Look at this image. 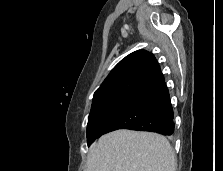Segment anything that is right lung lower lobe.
I'll return each mask as SVG.
<instances>
[{"label": "right lung lower lobe", "instance_id": "98d812e1", "mask_svg": "<svg viewBox=\"0 0 223 171\" xmlns=\"http://www.w3.org/2000/svg\"><path fill=\"white\" fill-rule=\"evenodd\" d=\"M118 129L151 131L162 135L174 132L173 110L164 80L138 95L105 126L101 135Z\"/></svg>", "mask_w": 223, "mask_h": 171}]
</instances>
